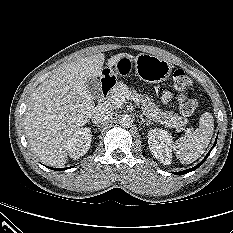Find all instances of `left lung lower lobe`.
Returning <instances> with one entry per match:
<instances>
[{"mask_svg":"<svg viewBox=\"0 0 233 233\" xmlns=\"http://www.w3.org/2000/svg\"><path fill=\"white\" fill-rule=\"evenodd\" d=\"M216 141H217V138H216L215 143H214L213 147L211 148V150L214 148V146L216 144ZM211 150L208 152V154L205 156V158L199 164L194 166L193 168H190V169H187V170H184V171H181V172H173V173L176 174V175H183V174H186V173H189L191 171L196 170L198 167H200L205 162V160L208 158Z\"/></svg>","mask_w":233,"mask_h":233,"instance_id":"obj_1","label":"left lung lower lobe"}]
</instances>
